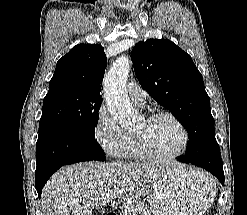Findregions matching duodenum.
<instances>
[{
    "label": "duodenum",
    "mask_w": 247,
    "mask_h": 215,
    "mask_svg": "<svg viewBox=\"0 0 247 215\" xmlns=\"http://www.w3.org/2000/svg\"><path fill=\"white\" fill-rule=\"evenodd\" d=\"M106 215H116L115 213H107Z\"/></svg>",
    "instance_id": "410a0bca"
}]
</instances>
